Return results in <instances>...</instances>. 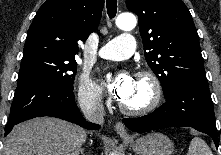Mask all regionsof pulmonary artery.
<instances>
[{
    "mask_svg": "<svg viewBox=\"0 0 221 155\" xmlns=\"http://www.w3.org/2000/svg\"><path fill=\"white\" fill-rule=\"evenodd\" d=\"M135 50V39L131 34L123 33L99 50V56L110 60H124Z\"/></svg>",
    "mask_w": 221,
    "mask_h": 155,
    "instance_id": "pulmonary-artery-1",
    "label": "pulmonary artery"
}]
</instances>
